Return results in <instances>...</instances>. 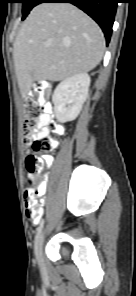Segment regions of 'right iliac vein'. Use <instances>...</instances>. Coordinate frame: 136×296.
Listing matches in <instances>:
<instances>
[{
    "instance_id": "obj_1",
    "label": "right iliac vein",
    "mask_w": 136,
    "mask_h": 296,
    "mask_svg": "<svg viewBox=\"0 0 136 296\" xmlns=\"http://www.w3.org/2000/svg\"><path fill=\"white\" fill-rule=\"evenodd\" d=\"M43 240H44V234L41 233L38 240V244H37L38 259L41 266L43 265V258H42Z\"/></svg>"
}]
</instances>
